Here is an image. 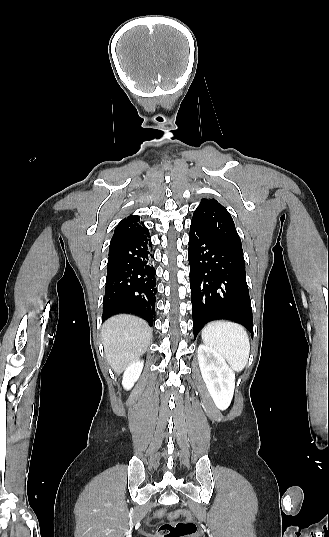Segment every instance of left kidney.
I'll use <instances>...</instances> for the list:
<instances>
[{
    "label": "left kidney",
    "mask_w": 329,
    "mask_h": 537,
    "mask_svg": "<svg viewBox=\"0 0 329 537\" xmlns=\"http://www.w3.org/2000/svg\"><path fill=\"white\" fill-rule=\"evenodd\" d=\"M197 353L201 375L216 407L227 409L234 394V372L214 349L199 345Z\"/></svg>",
    "instance_id": "1"
}]
</instances>
